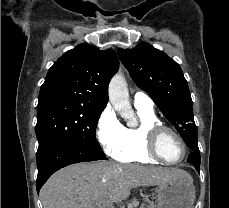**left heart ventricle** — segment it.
I'll use <instances>...</instances> for the list:
<instances>
[{
    "label": "left heart ventricle",
    "instance_id": "obj_1",
    "mask_svg": "<svg viewBox=\"0 0 229 208\" xmlns=\"http://www.w3.org/2000/svg\"><path fill=\"white\" fill-rule=\"evenodd\" d=\"M171 136L172 133L166 131L161 139H158V152H161L164 160H180L185 154V147H178V143H175Z\"/></svg>",
    "mask_w": 229,
    "mask_h": 208
}]
</instances>
